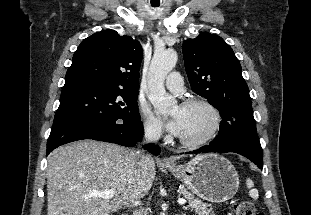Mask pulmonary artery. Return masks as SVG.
Segmentation results:
<instances>
[{
    "label": "pulmonary artery",
    "instance_id": "pulmonary-artery-1",
    "mask_svg": "<svg viewBox=\"0 0 311 215\" xmlns=\"http://www.w3.org/2000/svg\"><path fill=\"white\" fill-rule=\"evenodd\" d=\"M166 87L177 94H180L184 90L183 77L179 72H171L165 81Z\"/></svg>",
    "mask_w": 311,
    "mask_h": 215
}]
</instances>
